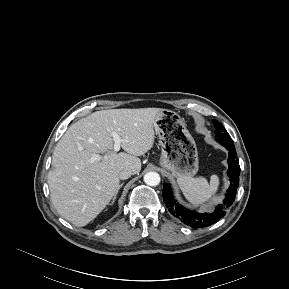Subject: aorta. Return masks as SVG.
<instances>
[{"label":"aorta","instance_id":"762f6f07","mask_svg":"<svg viewBox=\"0 0 289 289\" xmlns=\"http://www.w3.org/2000/svg\"><path fill=\"white\" fill-rule=\"evenodd\" d=\"M144 182L149 186H157L160 183V175L156 172H148L144 175Z\"/></svg>","mask_w":289,"mask_h":289}]
</instances>
